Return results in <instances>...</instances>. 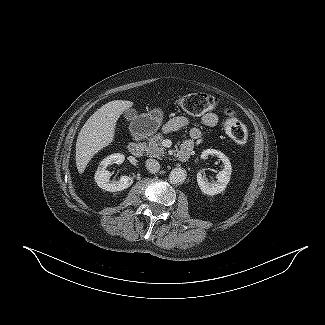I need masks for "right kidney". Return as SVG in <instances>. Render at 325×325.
Masks as SVG:
<instances>
[{
    "label": "right kidney",
    "mask_w": 325,
    "mask_h": 325,
    "mask_svg": "<svg viewBox=\"0 0 325 325\" xmlns=\"http://www.w3.org/2000/svg\"><path fill=\"white\" fill-rule=\"evenodd\" d=\"M124 160L125 156L123 154L115 153L107 156L101 161L94 177L95 182L101 189L105 191L116 192L122 191L132 185L133 178L126 175L122 176L119 181H109L111 173L106 170L107 166L112 165L114 163L121 164Z\"/></svg>",
    "instance_id": "ca27d5eb"
}]
</instances>
